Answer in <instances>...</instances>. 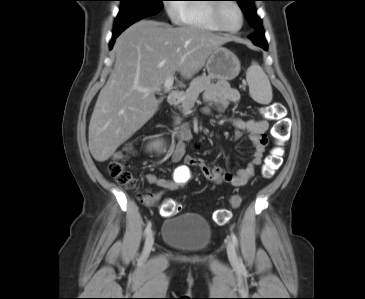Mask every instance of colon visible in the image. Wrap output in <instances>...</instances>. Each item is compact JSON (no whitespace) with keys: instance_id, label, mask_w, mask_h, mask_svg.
Returning <instances> with one entry per match:
<instances>
[{"instance_id":"obj_1","label":"colon","mask_w":365,"mask_h":299,"mask_svg":"<svg viewBox=\"0 0 365 299\" xmlns=\"http://www.w3.org/2000/svg\"><path fill=\"white\" fill-rule=\"evenodd\" d=\"M264 114L267 119L275 121L276 124L272 130V137L277 143L267 159L265 165L263 166L262 174L266 179L271 178L276 170L280 167L282 161V152L279 147L288 135V123L283 118V107L280 104H273L266 106L264 108ZM131 152V148H126L124 151L116 155V157L109 163L108 171L109 174L122 186L132 189L136 186V179L128 169L125 162L128 154ZM185 178L182 179L184 181ZM140 199L142 202L149 203L150 195L147 192H142L140 194ZM241 202L240 197H234L231 201L233 207H237ZM180 206L174 200H165L161 206L162 216H172L176 214ZM231 217L230 211L228 209H218L214 212L213 218L217 224H225L229 221Z\"/></svg>"}]
</instances>
